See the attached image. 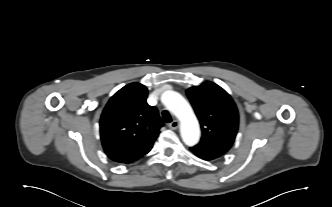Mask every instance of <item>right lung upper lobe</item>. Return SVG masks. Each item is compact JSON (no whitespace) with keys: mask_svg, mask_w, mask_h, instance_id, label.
I'll list each match as a JSON object with an SVG mask.
<instances>
[{"mask_svg":"<svg viewBox=\"0 0 332 207\" xmlns=\"http://www.w3.org/2000/svg\"><path fill=\"white\" fill-rule=\"evenodd\" d=\"M147 88L131 83L115 93L100 119L105 153L113 161L129 164L147 154L164 125L155 107L146 102Z\"/></svg>","mask_w":332,"mask_h":207,"instance_id":"obj_1","label":"right lung upper lobe"}]
</instances>
